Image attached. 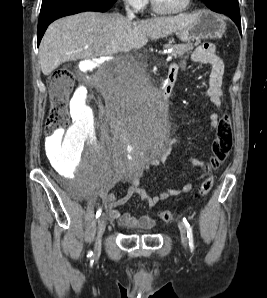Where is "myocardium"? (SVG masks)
<instances>
[{
    "label": "myocardium",
    "instance_id": "f54148a6",
    "mask_svg": "<svg viewBox=\"0 0 267 298\" xmlns=\"http://www.w3.org/2000/svg\"><path fill=\"white\" fill-rule=\"evenodd\" d=\"M192 0H186L185 5L178 11H165L159 7L157 4L156 0H151V7L152 10L159 14V15H164V16H175V15H180L185 13L191 6Z\"/></svg>",
    "mask_w": 267,
    "mask_h": 298
}]
</instances>
